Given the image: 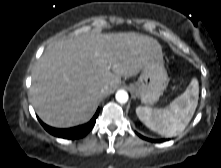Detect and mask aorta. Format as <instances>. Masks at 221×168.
<instances>
[{
	"label": "aorta",
	"mask_w": 221,
	"mask_h": 168,
	"mask_svg": "<svg viewBox=\"0 0 221 168\" xmlns=\"http://www.w3.org/2000/svg\"><path fill=\"white\" fill-rule=\"evenodd\" d=\"M115 97L119 103H126L128 101V93L125 90H118Z\"/></svg>",
	"instance_id": "762f6f07"
}]
</instances>
